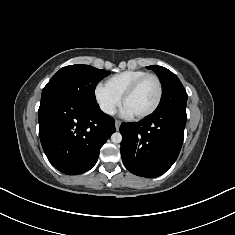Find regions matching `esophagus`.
I'll use <instances>...</instances> for the list:
<instances>
[{"label":"esophagus","instance_id":"1","mask_svg":"<svg viewBox=\"0 0 235 235\" xmlns=\"http://www.w3.org/2000/svg\"><path fill=\"white\" fill-rule=\"evenodd\" d=\"M120 125H121V121L116 120V121H115V127H116V130H117V131L119 130Z\"/></svg>","mask_w":235,"mask_h":235}]
</instances>
